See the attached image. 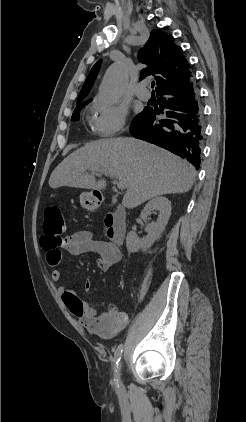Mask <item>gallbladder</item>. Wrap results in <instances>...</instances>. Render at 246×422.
<instances>
[{
	"mask_svg": "<svg viewBox=\"0 0 246 422\" xmlns=\"http://www.w3.org/2000/svg\"><path fill=\"white\" fill-rule=\"evenodd\" d=\"M116 202V200H113L112 203L114 204Z\"/></svg>",
	"mask_w": 246,
	"mask_h": 422,
	"instance_id": "bac80fb5",
	"label": "gallbladder"
}]
</instances>
